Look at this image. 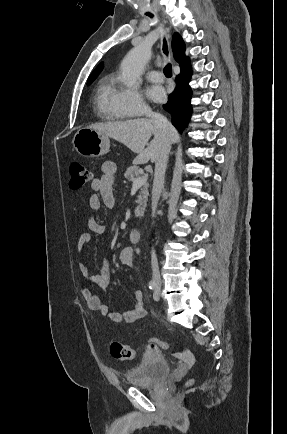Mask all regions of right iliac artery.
<instances>
[{
	"instance_id": "1",
	"label": "right iliac artery",
	"mask_w": 287,
	"mask_h": 434,
	"mask_svg": "<svg viewBox=\"0 0 287 434\" xmlns=\"http://www.w3.org/2000/svg\"><path fill=\"white\" fill-rule=\"evenodd\" d=\"M155 287H156V282H155L154 280H151V281L149 282V288H150L151 290H153Z\"/></svg>"
}]
</instances>
